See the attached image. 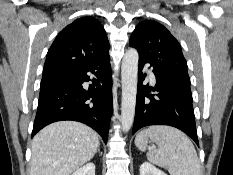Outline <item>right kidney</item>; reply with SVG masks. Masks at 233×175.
<instances>
[{"mask_svg": "<svg viewBox=\"0 0 233 175\" xmlns=\"http://www.w3.org/2000/svg\"><path fill=\"white\" fill-rule=\"evenodd\" d=\"M72 175H95V164L88 163L77 169Z\"/></svg>", "mask_w": 233, "mask_h": 175, "instance_id": "right-kidney-1", "label": "right kidney"}]
</instances>
